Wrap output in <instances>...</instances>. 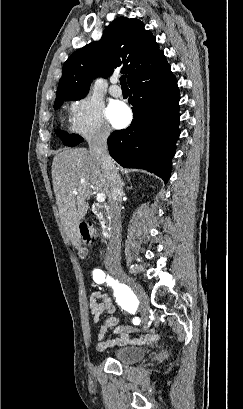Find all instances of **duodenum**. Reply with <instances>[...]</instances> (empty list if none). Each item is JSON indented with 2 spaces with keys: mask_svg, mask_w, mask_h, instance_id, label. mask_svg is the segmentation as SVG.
Listing matches in <instances>:
<instances>
[{
  "mask_svg": "<svg viewBox=\"0 0 243 409\" xmlns=\"http://www.w3.org/2000/svg\"><path fill=\"white\" fill-rule=\"evenodd\" d=\"M93 211L100 221L101 234L104 238L110 236L112 231V211L106 204L96 203L93 205Z\"/></svg>",
  "mask_w": 243,
  "mask_h": 409,
  "instance_id": "duodenum-1",
  "label": "duodenum"
}]
</instances>
